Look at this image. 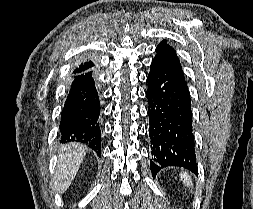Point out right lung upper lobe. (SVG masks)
Segmentation results:
<instances>
[{
    "label": "right lung upper lobe",
    "instance_id": "right-lung-upper-lobe-1",
    "mask_svg": "<svg viewBox=\"0 0 253 209\" xmlns=\"http://www.w3.org/2000/svg\"><path fill=\"white\" fill-rule=\"evenodd\" d=\"M95 67V64L93 61H91L89 58L83 60L79 66L73 71V74H81L85 73L87 71L92 70Z\"/></svg>",
    "mask_w": 253,
    "mask_h": 209
}]
</instances>
